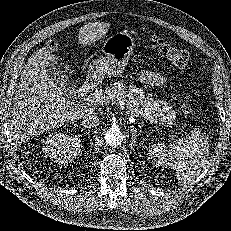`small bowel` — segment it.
I'll return each instance as SVG.
<instances>
[{
  "mask_svg": "<svg viewBox=\"0 0 231 231\" xmlns=\"http://www.w3.org/2000/svg\"><path fill=\"white\" fill-rule=\"evenodd\" d=\"M137 80L148 85L160 86L166 81V78L158 72L143 70L137 75Z\"/></svg>",
  "mask_w": 231,
  "mask_h": 231,
  "instance_id": "c3829d8e",
  "label": "small bowel"
}]
</instances>
